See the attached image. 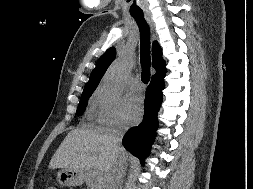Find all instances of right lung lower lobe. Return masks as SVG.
<instances>
[{"label":"right lung lower lobe","instance_id":"1","mask_svg":"<svg viewBox=\"0 0 253 189\" xmlns=\"http://www.w3.org/2000/svg\"><path fill=\"white\" fill-rule=\"evenodd\" d=\"M164 75L152 77L146 90L143 121L130 129L123 137V144L129 152L138 157L142 165L149 155L158 127L157 114L162 103L165 87Z\"/></svg>","mask_w":253,"mask_h":189}]
</instances>
